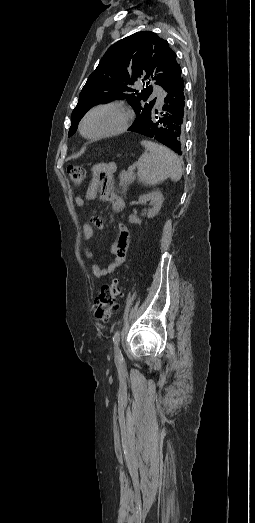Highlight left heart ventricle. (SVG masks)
Listing matches in <instances>:
<instances>
[{"label":"left heart ventricle","mask_w":255,"mask_h":523,"mask_svg":"<svg viewBox=\"0 0 255 523\" xmlns=\"http://www.w3.org/2000/svg\"><path fill=\"white\" fill-rule=\"evenodd\" d=\"M122 117L111 110H98L92 113L85 122L84 132L87 135H99L117 129L122 124Z\"/></svg>","instance_id":"1"}]
</instances>
